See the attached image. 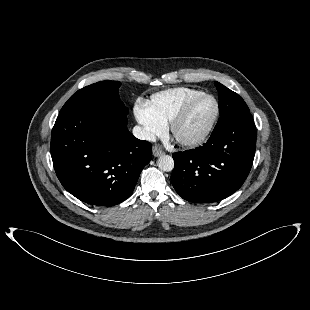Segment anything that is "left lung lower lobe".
Listing matches in <instances>:
<instances>
[{
  "mask_svg": "<svg viewBox=\"0 0 310 310\" xmlns=\"http://www.w3.org/2000/svg\"><path fill=\"white\" fill-rule=\"evenodd\" d=\"M256 145L251 114L214 128L203 146L174 153L171 175L177 193L187 201L210 203L222 200L244 183Z\"/></svg>",
  "mask_w": 310,
  "mask_h": 310,
  "instance_id": "0a47b994",
  "label": "left lung lower lobe"
}]
</instances>
